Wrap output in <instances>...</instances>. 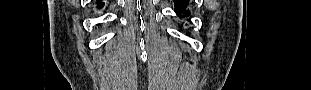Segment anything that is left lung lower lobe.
I'll use <instances>...</instances> for the list:
<instances>
[{
  "mask_svg": "<svg viewBox=\"0 0 311 90\" xmlns=\"http://www.w3.org/2000/svg\"><path fill=\"white\" fill-rule=\"evenodd\" d=\"M188 0H174L175 11L179 17H185L189 15V11L186 10V6L188 5ZM182 12L185 14L182 15Z\"/></svg>",
  "mask_w": 311,
  "mask_h": 90,
  "instance_id": "left-lung-lower-lobe-1",
  "label": "left lung lower lobe"
}]
</instances>
